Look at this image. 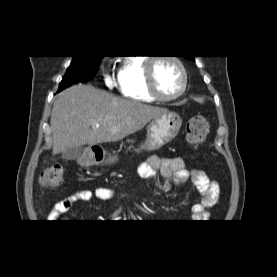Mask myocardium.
Segmentation results:
<instances>
[{"label": "myocardium", "mask_w": 277, "mask_h": 277, "mask_svg": "<svg viewBox=\"0 0 277 277\" xmlns=\"http://www.w3.org/2000/svg\"><path fill=\"white\" fill-rule=\"evenodd\" d=\"M160 59H167L174 62L180 69L182 75V87L178 93L172 96H164L162 95L156 86L155 76H154V64L156 61ZM145 80H146V87L148 92L157 100L168 102L173 101L181 97L188 88V74L185 65L181 61V59L175 55H164L159 57L149 58L145 64Z\"/></svg>", "instance_id": "1"}]
</instances>
